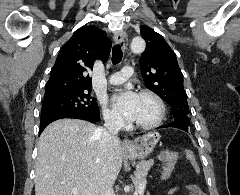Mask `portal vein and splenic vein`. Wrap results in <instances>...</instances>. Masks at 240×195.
<instances>
[{
    "mask_svg": "<svg viewBox=\"0 0 240 195\" xmlns=\"http://www.w3.org/2000/svg\"><path fill=\"white\" fill-rule=\"evenodd\" d=\"M144 186V183L143 182H140L138 185H137V188L139 190V192L137 193L138 195H142L144 192H145V188L143 187ZM72 191H77V187H74V189H72Z\"/></svg>",
    "mask_w": 240,
    "mask_h": 195,
    "instance_id": "portal-vein-and-splenic-vein-1",
    "label": "portal vein and splenic vein"
}]
</instances>
